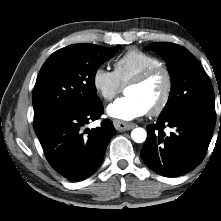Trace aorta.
Instances as JSON below:
<instances>
[{"label": "aorta", "mask_w": 221, "mask_h": 221, "mask_svg": "<svg viewBox=\"0 0 221 221\" xmlns=\"http://www.w3.org/2000/svg\"><path fill=\"white\" fill-rule=\"evenodd\" d=\"M147 133L145 129L143 128H135L131 132V138L133 139L134 142L136 143H142L146 140Z\"/></svg>", "instance_id": "obj_1"}]
</instances>
